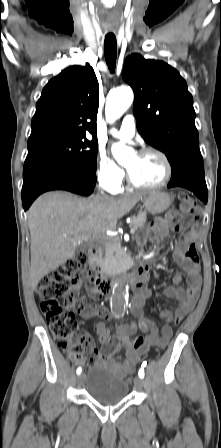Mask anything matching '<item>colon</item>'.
<instances>
[{"label": "colon", "mask_w": 221, "mask_h": 448, "mask_svg": "<svg viewBox=\"0 0 221 448\" xmlns=\"http://www.w3.org/2000/svg\"><path fill=\"white\" fill-rule=\"evenodd\" d=\"M179 202L182 223L188 224L196 214V204L192 197L184 192L179 194ZM185 258L193 264L199 263L200 257L194 244L186 250ZM88 260L87 252H76L61 267L44 276L37 287L40 308L45 314L56 345L76 362L84 360L83 347L90 349L93 347V342L88 336L78 337L77 320L73 313L59 303V300L69 295L74 287L91 278L92 273L87 268ZM144 342V337H138L135 340V347H141ZM85 360H91V355L88 354Z\"/></svg>", "instance_id": "5ec220e1"}]
</instances>
